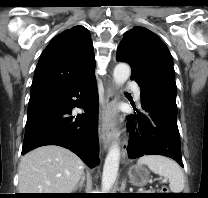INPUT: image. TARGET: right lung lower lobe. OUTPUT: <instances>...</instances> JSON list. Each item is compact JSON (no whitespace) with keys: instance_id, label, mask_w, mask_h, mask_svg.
I'll list each match as a JSON object with an SVG mask.
<instances>
[{"instance_id":"98d812e1","label":"right lung lower lobe","mask_w":208,"mask_h":198,"mask_svg":"<svg viewBox=\"0 0 208 198\" xmlns=\"http://www.w3.org/2000/svg\"><path fill=\"white\" fill-rule=\"evenodd\" d=\"M74 107L84 113L74 120ZM58 145L89 167L98 164V94L95 74L73 88L29 101L22 155L40 146Z\"/></svg>"}]
</instances>
